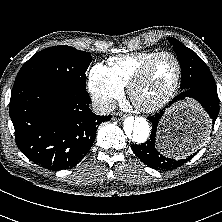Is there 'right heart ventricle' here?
Wrapping results in <instances>:
<instances>
[{
	"label": "right heart ventricle",
	"mask_w": 222,
	"mask_h": 222,
	"mask_svg": "<svg viewBox=\"0 0 222 222\" xmlns=\"http://www.w3.org/2000/svg\"><path fill=\"white\" fill-rule=\"evenodd\" d=\"M157 53L159 52L146 51L113 57L108 60V67L106 68L111 78L124 89L128 87L139 68Z\"/></svg>",
	"instance_id": "1"
}]
</instances>
